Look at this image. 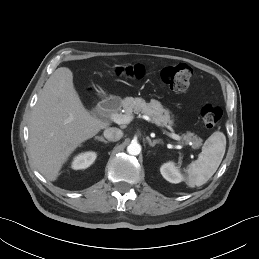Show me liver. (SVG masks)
Here are the masks:
<instances>
[{
  "label": "liver",
  "instance_id": "1",
  "mask_svg": "<svg viewBox=\"0 0 259 259\" xmlns=\"http://www.w3.org/2000/svg\"><path fill=\"white\" fill-rule=\"evenodd\" d=\"M109 123L92 116L73 84V73L60 67L46 81L29 124V153L36 169L55 181L73 151Z\"/></svg>",
  "mask_w": 259,
  "mask_h": 259
}]
</instances>
